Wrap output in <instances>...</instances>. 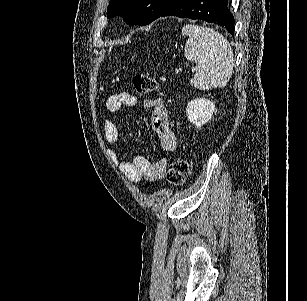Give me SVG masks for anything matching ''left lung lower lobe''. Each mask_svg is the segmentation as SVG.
Masks as SVG:
<instances>
[{"instance_id":"obj_1","label":"left lung lower lobe","mask_w":307,"mask_h":301,"mask_svg":"<svg viewBox=\"0 0 307 301\" xmlns=\"http://www.w3.org/2000/svg\"><path fill=\"white\" fill-rule=\"evenodd\" d=\"M228 0H175L159 17L202 19L223 26L234 35V17L227 7ZM158 17V18H159Z\"/></svg>"}]
</instances>
